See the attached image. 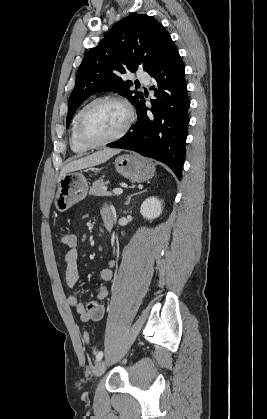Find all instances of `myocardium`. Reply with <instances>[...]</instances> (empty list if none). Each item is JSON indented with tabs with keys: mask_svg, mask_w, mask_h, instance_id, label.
Instances as JSON below:
<instances>
[{
	"mask_svg": "<svg viewBox=\"0 0 267 419\" xmlns=\"http://www.w3.org/2000/svg\"><path fill=\"white\" fill-rule=\"evenodd\" d=\"M103 101H112V102H116L119 103L120 105H122L126 111V121L124 123V125L122 126V128L112 137L102 140V141H98V142H92L90 140H88L82 132V123H83V119L85 116V113L87 112V110L93 106L96 103L99 102H103ZM135 119V113H134V109L132 107V105L123 97L118 96V95H103V96H99L94 98L93 100H91L90 102H88L80 111L78 114V118H77V122H76V136L77 139L79 140V142L88 147V148H97V147H101L107 144H110L112 142H115L117 140H119L120 138H122L130 129L131 125L133 124Z\"/></svg>",
	"mask_w": 267,
	"mask_h": 419,
	"instance_id": "obj_1",
	"label": "myocardium"
}]
</instances>
